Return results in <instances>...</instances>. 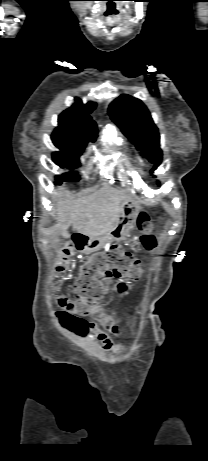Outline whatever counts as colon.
<instances>
[{"instance_id":"1","label":"colon","mask_w":208,"mask_h":461,"mask_svg":"<svg viewBox=\"0 0 208 461\" xmlns=\"http://www.w3.org/2000/svg\"><path fill=\"white\" fill-rule=\"evenodd\" d=\"M137 227L141 232L142 244L150 248L155 244L152 223L146 213L137 216ZM136 247V243L131 241ZM68 265V255H63L55 265V271L62 273ZM140 262L119 244L110 245L104 253L92 256L82 263L75 274L74 299L61 297L57 317L71 331L83 335L87 323L82 318L90 314L103 294V284L110 279L129 277L137 280L141 276Z\"/></svg>"}]
</instances>
